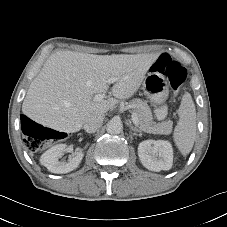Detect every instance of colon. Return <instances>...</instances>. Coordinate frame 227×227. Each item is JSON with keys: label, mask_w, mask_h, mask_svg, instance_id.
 <instances>
[{"label": "colon", "mask_w": 227, "mask_h": 227, "mask_svg": "<svg viewBox=\"0 0 227 227\" xmlns=\"http://www.w3.org/2000/svg\"><path fill=\"white\" fill-rule=\"evenodd\" d=\"M152 70L166 77L174 92L184 83L187 77L186 69L177 61L173 60L168 54L158 57L152 66ZM25 131L28 136L27 147L30 150H38L43 142L54 139V131L32 121H27Z\"/></svg>", "instance_id": "1"}]
</instances>
